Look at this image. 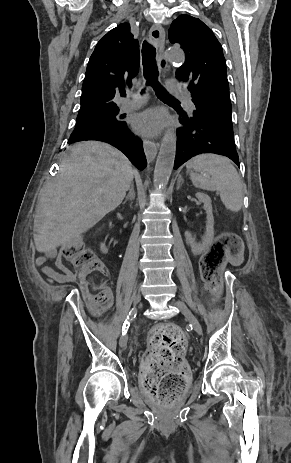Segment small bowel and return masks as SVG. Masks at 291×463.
<instances>
[{"instance_id": "1", "label": "small bowel", "mask_w": 291, "mask_h": 463, "mask_svg": "<svg viewBox=\"0 0 291 463\" xmlns=\"http://www.w3.org/2000/svg\"><path fill=\"white\" fill-rule=\"evenodd\" d=\"M44 252L45 256L38 258L37 264L43 265L46 261V258H53L55 267L58 269L57 271L51 267L43 268V272L48 277L49 282L68 283L72 282L75 279V276L72 273V271L66 267L63 257L60 253H56L54 249H45Z\"/></svg>"}]
</instances>
